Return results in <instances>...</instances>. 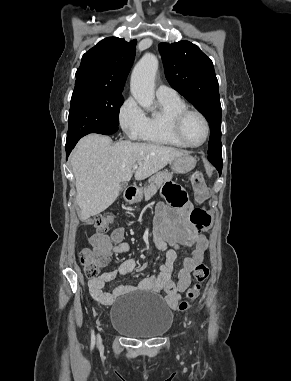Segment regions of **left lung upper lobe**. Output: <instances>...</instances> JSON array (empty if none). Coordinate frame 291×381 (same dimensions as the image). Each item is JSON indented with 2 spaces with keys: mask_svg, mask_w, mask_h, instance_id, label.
<instances>
[{
  "mask_svg": "<svg viewBox=\"0 0 291 381\" xmlns=\"http://www.w3.org/2000/svg\"><path fill=\"white\" fill-rule=\"evenodd\" d=\"M166 78L207 119L210 126L208 156L222 157L221 104L213 63L188 41L158 45Z\"/></svg>",
  "mask_w": 291,
  "mask_h": 381,
  "instance_id": "5c2ea615",
  "label": "left lung upper lobe"
}]
</instances>
